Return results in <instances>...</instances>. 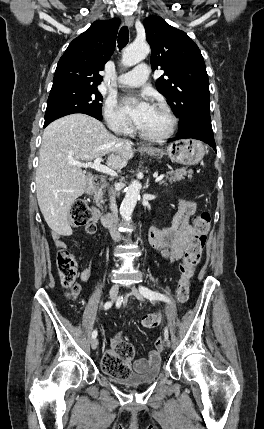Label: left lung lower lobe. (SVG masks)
<instances>
[{"label": "left lung lower lobe", "instance_id": "1", "mask_svg": "<svg viewBox=\"0 0 264 429\" xmlns=\"http://www.w3.org/2000/svg\"><path fill=\"white\" fill-rule=\"evenodd\" d=\"M194 138L209 144L216 151V144L214 141L213 130L211 125L210 115L198 117L193 124L187 129L179 130V134L169 139L174 141L178 139Z\"/></svg>", "mask_w": 264, "mask_h": 429}]
</instances>
